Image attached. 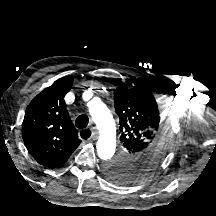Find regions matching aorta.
I'll use <instances>...</instances> for the list:
<instances>
[{
  "label": "aorta",
  "mask_w": 216,
  "mask_h": 216,
  "mask_svg": "<svg viewBox=\"0 0 216 216\" xmlns=\"http://www.w3.org/2000/svg\"><path fill=\"white\" fill-rule=\"evenodd\" d=\"M89 112L99 130L96 148L102 160H110L116 149V126L109 109L101 102L89 104Z\"/></svg>",
  "instance_id": "aorta-1"
}]
</instances>
